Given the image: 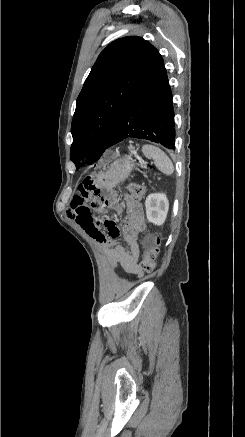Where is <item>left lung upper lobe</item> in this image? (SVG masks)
Wrapping results in <instances>:
<instances>
[{
	"instance_id": "obj_1",
	"label": "left lung upper lobe",
	"mask_w": 245,
	"mask_h": 437,
	"mask_svg": "<svg viewBox=\"0 0 245 437\" xmlns=\"http://www.w3.org/2000/svg\"><path fill=\"white\" fill-rule=\"evenodd\" d=\"M158 50L138 36L110 43L98 56L76 101L70 158L76 168L93 164L107 142L127 100L155 61Z\"/></svg>"
}]
</instances>
